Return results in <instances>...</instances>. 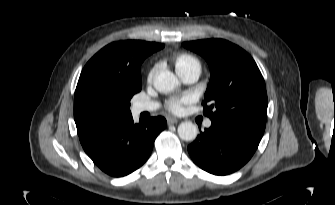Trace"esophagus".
Returning a JSON list of instances; mask_svg holds the SVG:
<instances>
[{"instance_id": "obj_1", "label": "esophagus", "mask_w": 335, "mask_h": 205, "mask_svg": "<svg viewBox=\"0 0 335 205\" xmlns=\"http://www.w3.org/2000/svg\"><path fill=\"white\" fill-rule=\"evenodd\" d=\"M167 123H168L169 125H171V124H176V123H178V119H176V118H174V117H169V118H167Z\"/></svg>"}]
</instances>
